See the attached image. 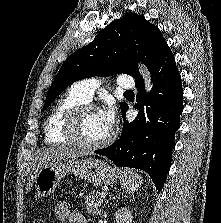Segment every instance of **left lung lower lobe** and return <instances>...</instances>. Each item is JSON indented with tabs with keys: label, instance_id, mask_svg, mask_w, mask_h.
Here are the masks:
<instances>
[{
	"label": "left lung lower lobe",
	"instance_id": "1",
	"mask_svg": "<svg viewBox=\"0 0 221 223\" xmlns=\"http://www.w3.org/2000/svg\"><path fill=\"white\" fill-rule=\"evenodd\" d=\"M153 89L145 94L144 82L135 83L138 90L139 111L133 122H128L126 110L123 131L111 146L97 150L115 165L146 171L158 191H161L171 166V151L175 146L174 134L179 129V117L183 111V89L175 58L169 47L151 71Z\"/></svg>",
	"mask_w": 221,
	"mask_h": 223
}]
</instances>
